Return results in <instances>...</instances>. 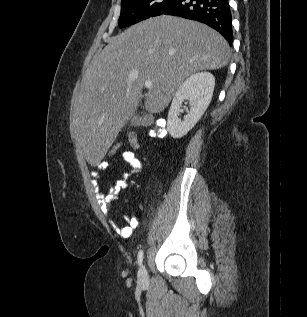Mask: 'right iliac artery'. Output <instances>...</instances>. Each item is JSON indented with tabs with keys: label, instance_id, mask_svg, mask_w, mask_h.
<instances>
[{
	"label": "right iliac artery",
	"instance_id": "right-iliac-artery-1",
	"mask_svg": "<svg viewBox=\"0 0 307 317\" xmlns=\"http://www.w3.org/2000/svg\"><path fill=\"white\" fill-rule=\"evenodd\" d=\"M143 250H140L138 253V264L141 266L143 262Z\"/></svg>",
	"mask_w": 307,
	"mask_h": 317
}]
</instances>
